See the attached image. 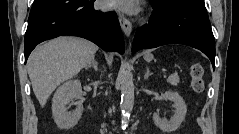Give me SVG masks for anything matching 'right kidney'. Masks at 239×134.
<instances>
[{
  "instance_id": "ca27d5eb",
  "label": "right kidney",
  "mask_w": 239,
  "mask_h": 134,
  "mask_svg": "<svg viewBox=\"0 0 239 134\" xmlns=\"http://www.w3.org/2000/svg\"><path fill=\"white\" fill-rule=\"evenodd\" d=\"M82 95L80 80H70L62 84L54 93L52 114L59 128L68 129L78 123L83 112L81 102L76 103V109L68 112L66 105L73 99H79Z\"/></svg>"
}]
</instances>
